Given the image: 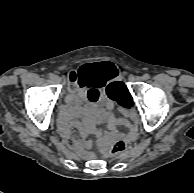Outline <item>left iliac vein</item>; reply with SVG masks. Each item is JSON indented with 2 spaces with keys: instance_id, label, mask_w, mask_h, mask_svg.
Here are the masks:
<instances>
[{
  "instance_id": "obj_1",
  "label": "left iliac vein",
  "mask_w": 194,
  "mask_h": 193,
  "mask_svg": "<svg viewBox=\"0 0 194 193\" xmlns=\"http://www.w3.org/2000/svg\"><path fill=\"white\" fill-rule=\"evenodd\" d=\"M137 80L142 81V80H144V78L143 77H137Z\"/></svg>"
}]
</instances>
